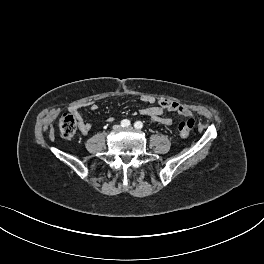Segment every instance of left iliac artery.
I'll use <instances>...</instances> for the list:
<instances>
[{
    "mask_svg": "<svg viewBox=\"0 0 264 264\" xmlns=\"http://www.w3.org/2000/svg\"><path fill=\"white\" fill-rule=\"evenodd\" d=\"M134 127L136 129H141L143 127V123L141 121H137L135 122Z\"/></svg>",
    "mask_w": 264,
    "mask_h": 264,
    "instance_id": "obj_1",
    "label": "left iliac artery"
}]
</instances>
